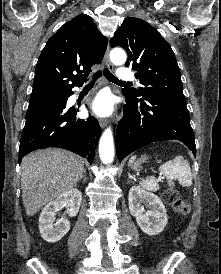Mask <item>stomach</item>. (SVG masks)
Instances as JSON below:
<instances>
[{"mask_svg":"<svg viewBox=\"0 0 221 274\" xmlns=\"http://www.w3.org/2000/svg\"><path fill=\"white\" fill-rule=\"evenodd\" d=\"M146 157L144 156V157H142L141 159H139L138 161H136V162H133L132 163V168L133 169H137L139 166H140V164L142 163V162H145L146 161Z\"/></svg>","mask_w":221,"mask_h":274,"instance_id":"1","label":"stomach"}]
</instances>
